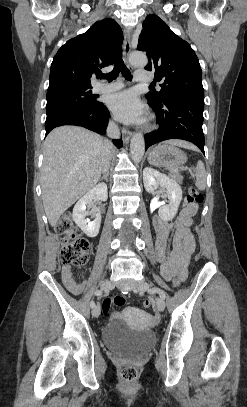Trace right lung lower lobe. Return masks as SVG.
<instances>
[{
	"label": "right lung lower lobe",
	"instance_id": "obj_1",
	"mask_svg": "<svg viewBox=\"0 0 247 407\" xmlns=\"http://www.w3.org/2000/svg\"><path fill=\"white\" fill-rule=\"evenodd\" d=\"M46 135L55 127L62 125H78L99 134L106 133L109 111L99 102L95 107L63 106L46 111ZM115 146L120 148L122 140H113Z\"/></svg>",
	"mask_w": 247,
	"mask_h": 407
}]
</instances>
